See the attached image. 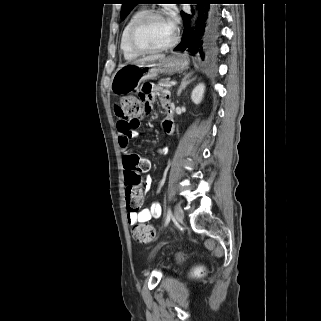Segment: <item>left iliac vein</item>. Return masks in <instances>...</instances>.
Wrapping results in <instances>:
<instances>
[{
    "label": "left iliac vein",
    "instance_id": "1",
    "mask_svg": "<svg viewBox=\"0 0 321 321\" xmlns=\"http://www.w3.org/2000/svg\"><path fill=\"white\" fill-rule=\"evenodd\" d=\"M174 216H175V219L178 223H181L184 219V213H183V210L182 208L179 206V205H176L175 206V209H174Z\"/></svg>",
    "mask_w": 321,
    "mask_h": 321
}]
</instances>
